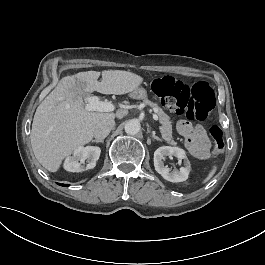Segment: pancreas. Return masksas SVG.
Returning a JSON list of instances; mask_svg holds the SVG:
<instances>
[{
    "instance_id": "obj_1",
    "label": "pancreas",
    "mask_w": 265,
    "mask_h": 265,
    "mask_svg": "<svg viewBox=\"0 0 265 265\" xmlns=\"http://www.w3.org/2000/svg\"><path fill=\"white\" fill-rule=\"evenodd\" d=\"M143 103L157 110V115L161 123L160 132L162 134V138L167 143L171 145H176L177 143L173 140V137H172V125H171L170 117L167 114H165L164 111L156 103H153L152 101L148 99H144Z\"/></svg>"
}]
</instances>
